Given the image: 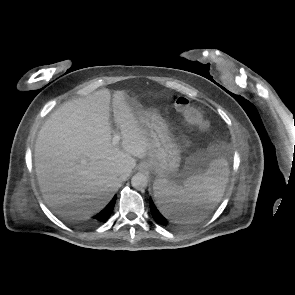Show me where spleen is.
<instances>
[{
	"instance_id": "1",
	"label": "spleen",
	"mask_w": 295,
	"mask_h": 295,
	"mask_svg": "<svg viewBox=\"0 0 295 295\" xmlns=\"http://www.w3.org/2000/svg\"><path fill=\"white\" fill-rule=\"evenodd\" d=\"M229 167L223 158L212 161L208 168L190 176L183 185L166 179L154 182V195L161 213L180 224L196 223L204 218L197 215L195 207L213 205L218 202L228 182Z\"/></svg>"
}]
</instances>
